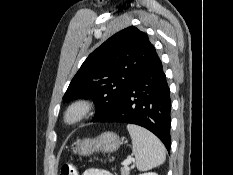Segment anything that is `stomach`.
I'll return each instance as SVG.
<instances>
[{"label":"stomach","instance_id":"1","mask_svg":"<svg viewBox=\"0 0 233 175\" xmlns=\"http://www.w3.org/2000/svg\"><path fill=\"white\" fill-rule=\"evenodd\" d=\"M121 145L119 136L113 132H105L94 139H83L77 142L75 152L88 156L94 152L111 153Z\"/></svg>","mask_w":233,"mask_h":175}]
</instances>
